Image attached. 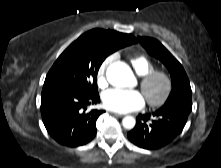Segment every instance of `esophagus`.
<instances>
[{
	"mask_svg": "<svg viewBox=\"0 0 221 168\" xmlns=\"http://www.w3.org/2000/svg\"><path fill=\"white\" fill-rule=\"evenodd\" d=\"M111 114H113V115L116 116V117H122V116H123L122 114L115 113V112H111Z\"/></svg>",
	"mask_w": 221,
	"mask_h": 168,
	"instance_id": "obj_1",
	"label": "esophagus"
}]
</instances>
